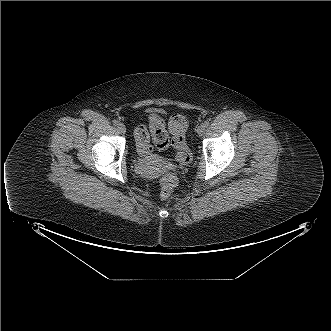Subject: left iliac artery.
<instances>
[{"label": "left iliac artery", "instance_id": "1", "mask_svg": "<svg viewBox=\"0 0 331 331\" xmlns=\"http://www.w3.org/2000/svg\"><path fill=\"white\" fill-rule=\"evenodd\" d=\"M203 124H204L205 127H208L210 123H209L208 120H206Z\"/></svg>", "mask_w": 331, "mask_h": 331}]
</instances>
